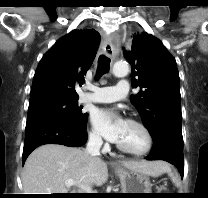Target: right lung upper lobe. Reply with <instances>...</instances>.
Listing matches in <instances>:
<instances>
[{
	"instance_id": "cb5924a9",
	"label": "right lung upper lobe",
	"mask_w": 208,
	"mask_h": 198,
	"mask_svg": "<svg viewBox=\"0 0 208 198\" xmlns=\"http://www.w3.org/2000/svg\"><path fill=\"white\" fill-rule=\"evenodd\" d=\"M99 33L73 30L42 57L33 79L29 107L54 100L78 99L76 82L83 81L96 56Z\"/></svg>"
}]
</instances>
